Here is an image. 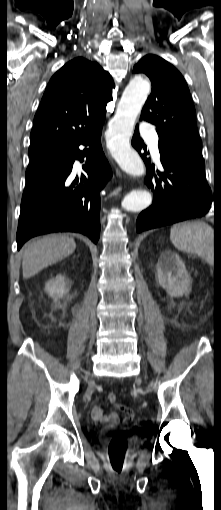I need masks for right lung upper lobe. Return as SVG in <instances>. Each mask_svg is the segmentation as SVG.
Returning <instances> with one entry per match:
<instances>
[{"instance_id":"right-lung-upper-lobe-1","label":"right lung upper lobe","mask_w":221,"mask_h":510,"mask_svg":"<svg viewBox=\"0 0 221 510\" xmlns=\"http://www.w3.org/2000/svg\"><path fill=\"white\" fill-rule=\"evenodd\" d=\"M113 85L98 63L78 57L65 64L42 97L28 152L59 150L91 133L105 120Z\"/></svg>"}]
</instances>
